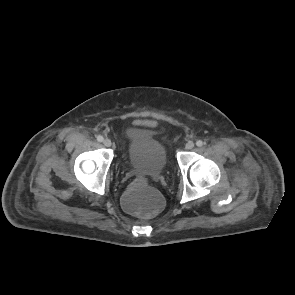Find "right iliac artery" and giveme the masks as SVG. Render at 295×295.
<instances>
[{"instance_id": "1", "label": "right iliac artery", "mask_w": 295, "mask_h": 295, "mask_svg": "<svg viewBox=\"0 0 295 295\" xmlns=\"http://www.w3.org/2000/svg\"><path fill=\"white\" fill-rule=\"evenodd\" d=\"M104 140L103 136L99 135L97 136V141L102 142Z\"/></svg>"}]
</instances>
